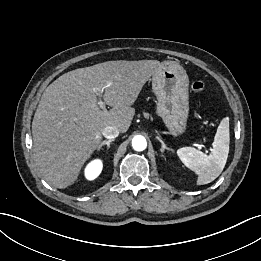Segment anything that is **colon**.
<instances>
[{
	"label": "colon",
	"instance_id": "obj_1",
	"mask_svg": "<svg viewBox=\"0 0 261 261\" xmlns=\"http://www.w3.org/2000/svg\"><path fill=\"white\" fill-rule=\"evenodd\" d=\"M205 84L201 80H194L191 83V89L195 93H200L204 90Z\"/></svg>",
	"mask_w": 261,
	"mask_h": 261
}]
</instances>
